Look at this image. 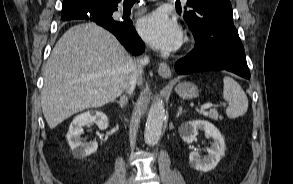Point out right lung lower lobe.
<instances>
[{"mask_svg":"<svg viewBox=\"0 0 293 184\" xmlns=\"http://www.w3.org/2000/svg\"><path fill=\"white\" fill-rule=\"evenodd\" d=\"M118 2L113 6L95 7L85 12H79L77 15L63 20L93 21L113 33L129 52L134 55L141 54L145 45L133 27L132 21L130 19L118 21L112 18L113 12L117 10Z\"/></svg>","mask_w":293,"mask_h":184,"instance_id":"obj_1","label":"right lung lower lobe"}]
</instances>
